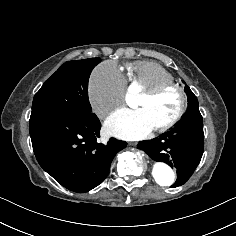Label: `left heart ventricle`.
Wrapping results in <instances>:
<instances>
[{"instance_id": "b2bd125f", "label": "left heart ventricle", "mask_w": 236, "mask_h": 236, "mask_svg": "<svg viewBox=\"0 0 236 236\" xmlns=\"http://www.w3.org/2000/svg\"><path fill=\"white\" fill-rule=\"evenodd\" d=\"M127 100L136 108L144 110L153 129L171 120L179 108V97L174 91H168L153 100H148L143 95L127 96Z\"/></svg>"}]
</instances>
